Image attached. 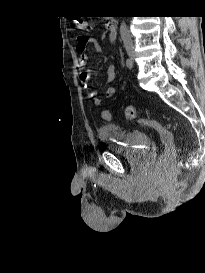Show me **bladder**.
I'll use <instances>...</instances> for the list:
<instances>
[{
	"label": "bladder",
	"instance_id": "1",
	"mask_svg": "<svg viewBox=\"0 0 205 273\" xmlns=\"http://www.w3.org/2000/svg\"><path fill=\"white\" fill-rule=\"evenodd\" d=\"M99 136L110 151L131 161L143 158L150 149V138L142 131H124L115 124L99 127Z\"/></svg>",
	"mask_w": 205,
	"mask_h": 273
}]
</instances>
